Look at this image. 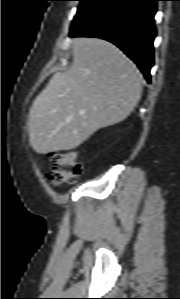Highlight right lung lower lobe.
Instances as JSON below:
<instances>
[{"label":"right lung lower lobe","mask_w":180,"mask_h":299,"mask_svg":"<svg viewBox=\"0 0 180 299\" xmlns=\"http://www.w3.org/2000/svg\"><path fill=\"white\" fill-rule=\"evenodd\" d=\"M158 0H105L71 27L70 37H97L117 45L151 82Z\"/></svg>","instance_id":"98d812e1"}]
</instances>
